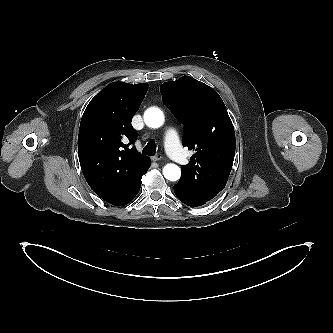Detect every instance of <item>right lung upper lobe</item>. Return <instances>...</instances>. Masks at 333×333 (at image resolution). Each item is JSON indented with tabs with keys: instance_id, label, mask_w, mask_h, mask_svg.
Listing matches in <instances>:
<instances>
[{
	"instance_id": "right-lung-upper-lobe-1",
	"label": "right lung upper lobe",
	"mask_w": 333,
	"mask_h": 333,
	"mask_svg": "<svg viewBox=\"0 0 333 333\" xmlns=\"http://www.w3.org/2000/svg\"><path fill=\"white\" fill-rule=\"evenodd\" d=\"M148 87L113 82L90 101L81 119L78 155L83 175L99 197L115 206L135 198L150 166L149 158L130 146L137 138L131 119Z\"/></svg>"
}]
</instances>
